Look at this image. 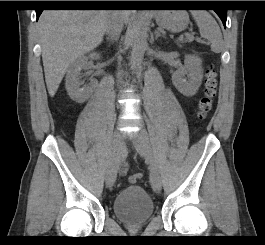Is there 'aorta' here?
<instances>
[{
	"label": "aorta",
	"mask_w": 265,
	"mask_h": 245,
	"mask_svg": "<svg viewBox=\"0 0 265 245\" xmlns=\"http://www.w3.org/2000/svg\"><path fill=\"white\" fill-rule=\"evenodd\" d=\"M146 48H147L146 24L143 20H141L137 26L136 34L132 41L131 67L133 70L137 71L141 67Z\"/></svg>",
	"instance_id": "obj_1"
}]
</instances>
